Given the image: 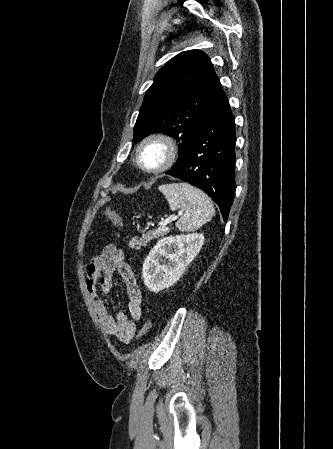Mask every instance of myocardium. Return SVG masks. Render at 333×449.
Listing matches in <instances>:
<instances>
[{
  "instance_id": "obj_1",
  "label": "myocardium",
  "mask_w": 333,
  "mask_h": 449,
  "mask_svg": "<svg viewBox=\"0 0 333 449\" xmlns=\"http://www.w3.org/2000/svg\"><path fill=\"white\" fill-rule=\"evenodd\" d=\"M149 145H159L164 150V159L156 167H149L142 161L143 150ZM178 157V146L173 138L166 134L154 133L143 138L136 147L135 162L139 169L150 175H157L168 170Z\"/></svg>"
}]
</instances>
